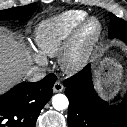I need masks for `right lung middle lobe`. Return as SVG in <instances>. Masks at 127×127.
Instances as JSON below:
<instances>
[{
	"label": "right lung middle lobe",
	"mask_w": 127,
	"mask_h": 127,
	"mask_svg": "<svg viewBox=\"0 0 127 127\" xmlns=\"http://www.w3.org/2000/svg\"><path fill=\"white\" fill-rule=\"evenodd\" d=\"M37 8L36 3L26 6L14 7L0 11V20L24 19L30 16Z\"/></svg>",
	"instance_id": "dd1d6c3e"
}]
</instances>
